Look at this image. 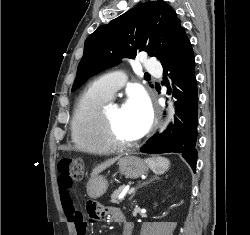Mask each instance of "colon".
Here are the masks:
<instances>
[{
	"instance_id": "colon-1",
	"label": "colon",
	"mask_w": 250,
	"mask_h": 235,
	"mask_svg": "<svg viewBox=\"0 0 250 235\" xmlns=\"http://www.w3.org/2000/svg\"><path fill=\"white\" fill-rule=\"evenodd\" d=\"M58 171H59V186L61 188H71L73 182L80 181L83 178L84 175L83 161L79 158L61 160L58 163ZM77 230L79 235L85 234V231L81 224L77 225Z\"/></svg>"
}]
</instances>
